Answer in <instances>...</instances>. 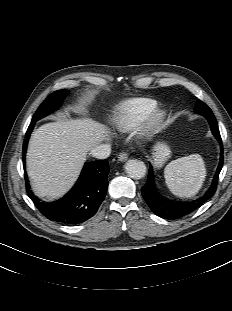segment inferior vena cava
<instances>
[{"instance_id":"1","label":"inferior vena cava","mask_w":232,"mask_h":311,"mask_svg":"<svg viewBox=\"0 0 232 311\" xmlns=\"http://www.w3.org/2000/svg\"><path fill=\"white\" fill-rule=\"evenodd\" d=\"M111 153V146L109 144L97 145L91 150V155L97 159H106Z\"/></svg>"}]
</instances>
